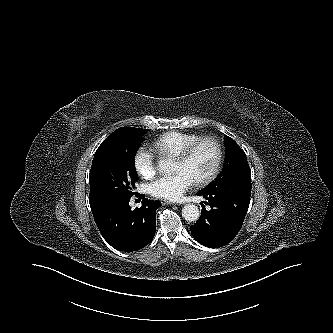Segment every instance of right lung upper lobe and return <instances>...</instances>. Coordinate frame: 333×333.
<instances>
[{
	"label": "right lung upper lobe",
	"mask_w": 333,
	"mask_h": 333,
	"mask_svg": "<svg viewBox=\"0 0 333 333\" xmlns=\"http://www.w3.org/2000/svg\"><path fill=\"white\" fill-rule=\"evenodd\" d=\"M130 128H132V127H121V128H119V129H117V130L114 131L111 135H109V136L105 139V141L108 140V139H111V138H113V137H115V136H117V135H119V134L122 133V132H125L126 130H128V129H130ZM90 206H91V210H94V209L98 208V207L93 206V205H91V204H90Z\"/></svg>",
	"instance_id": "cb5924a9"
}]
</instances>
